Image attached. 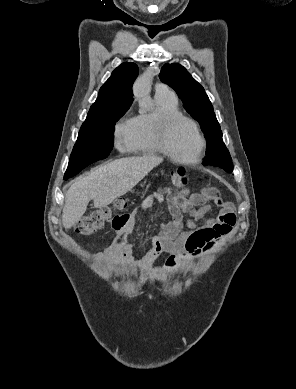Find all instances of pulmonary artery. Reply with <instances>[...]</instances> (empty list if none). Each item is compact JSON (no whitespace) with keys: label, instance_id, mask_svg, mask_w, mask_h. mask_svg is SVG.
<instances>
[{"label":"pulmonary artery","instance_id":"pulmonary-artery-1","mask_svg":"<svg viewBox=\"0 0 296 389\" xmlns=\"http://www.w3.org/2000/svg\"><path fill=\"white\" fill-rule=\"evenodd\" d=\"M156 94H171L174 95L173 91L165 84L159 83L155 86Z\"/></svg>","mask_w":296,"mask_h":389}]
</instances>
